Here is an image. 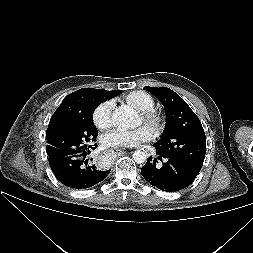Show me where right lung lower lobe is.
Segmentation results:
<instances>
[{
  "label": "right lung lower lobe",
  "mask_w": 253,
  "mask_h": 253,
  "mask_svg": "<svg viewBox=\"0 0 253 253\" xmlns=\"http://www.w3.org/2000/svg\"><path fill=\"white\" fill-rule=\"evenodd\" d=\"M93 146L97 147V144ZM95 147H90L95 149ZM90 148L84 152L68 155L62 158H49L50 167L55 177L65 186L74 189L90 188L110 173L102 170L90 159Z\"/></svg>",
  "instance_id": "1"
}]
</instances>
